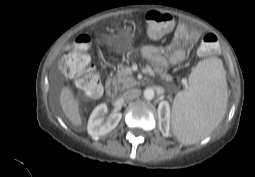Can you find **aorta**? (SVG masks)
I'll return each instance as SVG.
<instances>
[{"label":"aorta","mask_w":255,"mask_h":177,"mask_svg":"<svg viewBox=\"0 0 255 177\" xmlns=\"http://www.w3.org/2000/svg\"><path fill=\"white\" fill-rule=\"evenodd\" d=\"M154 90L152 88H147L144 90V98L146 100H152L154 98Z\"/></svg>","instance_id":"obj_1"}]
</instances>
